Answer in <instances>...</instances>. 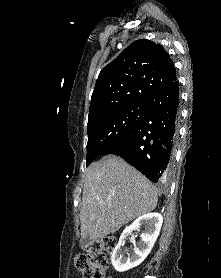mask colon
I'll list each match as a JSON object with an SVG mask.
<instances>
[{"mask_svg": "<svg viewBox=\"0 0 221 278\" xmlns=\"http://www.w3.org/2000/svg\"><path fill=\"white\" fill-rule=\"evenodd\" d=\"M116 240L114 237H106L93 242L85 254H77L74 257L76 269L83 278H105L108 269L107 254L114 249Z\"/></svg>", "mask_w": 221, "mask_h": 278, "instance_id": "obj_1", "label": "colon"}]
</instances>
